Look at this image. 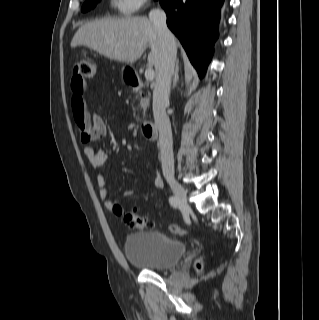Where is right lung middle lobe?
<instances>
[{
  "mask_svg": "<svg viewBox=\"0 0 319 320\" xmlns=\"http://www.w3.org/2000/svg\"><path fill=\"white\" fill-rule=\"evenodd\" d=\"M100 0H86L82 6V11L86 12L94 8Z\"/></svg>",
  "mask_w": 319,
  "mask_h": 320,
  "instance_id": "right-lung-middle-lobe-1",
  "label": "right lung middle lobe"
}]
</instances>
